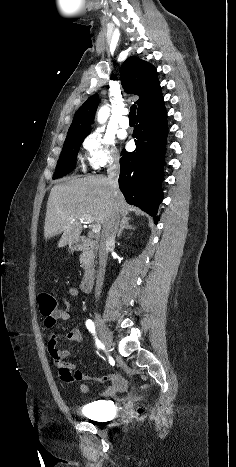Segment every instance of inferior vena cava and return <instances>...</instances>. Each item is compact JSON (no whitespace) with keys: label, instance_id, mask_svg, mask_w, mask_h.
<instances>
[{"label":"inferior vena cava","instance_id":"602c4592","mask_svg":"<svg viewBox=\"0 0 236 467\" xmlns=\"http://www.w3.org/2000/svg\"><path fill=\"white\" fill-rule=\"evenodd\" d=\"M108 182L111 186L114 195L118 193V176H119V166L117 164H112L107 169ZM118 219L111 218L107 224L103 227L100 246H99V271L96 277V287H95V296L99 297L101 293V288L104 281L105 267L108 258V250L115 243V236L117 232Z\"/></svg>","mask_w":236,"mask_h":467}]
</instances>
